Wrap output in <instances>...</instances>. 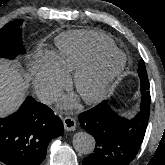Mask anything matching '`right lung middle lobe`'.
I'll return each instance as SVG.
<instances>
[{
	"label": "right lung middle lobe",
	"mask_w": 165,
	"mask_h": 165,
	"mask_svg": "<svg viewBox=\"0 0 165 165\" xmlns=\"http://www.w3.org/2000/svg\"><path fill=\"white\" fill-rule=\"evenodd\" d=\"M23 20L7 23L0 30V57L14 59L19 54H24L20 25Z\"/></svg>",
	"instance_id": "obj_1"
}]
</instances>
